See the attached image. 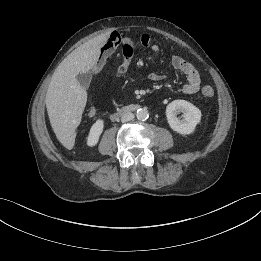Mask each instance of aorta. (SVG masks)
<instances>
[{
    "instance_id": "obj_1",
    "label": "aorta",
    "mask_w": 261,
    "mask_h": 261,
    "mask_svg": "<svg viewBox=\"0 0 261 261\" xmlns=\"http://www.w3.org/2000/svg\"><path fill=\"white\" fill-rule=\"evenodd\" d=\"M136 117L139 120H146V119H148V117H149L148 110L145 109V108L138 109L137 112H136Z\"/></svg>"
}]
</instances>
